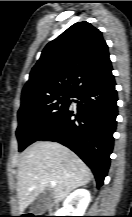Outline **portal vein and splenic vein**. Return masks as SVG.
<instances>
[{"label":"portal vein and splenic vein","mask_w":132,"mask_h":217,"mask_svg":"<svg viewBox=\"0 0 132 217\" xmlns=\"http://www.w3.org/2000/svg\"><path fill=\"white\" fill-rule=\"evenodd\" d=\"M50 185H51L52 187H54V186H56V182H55V181H51V182H50Z\"/></svg>","instance_id":"1"}]
</instances>
